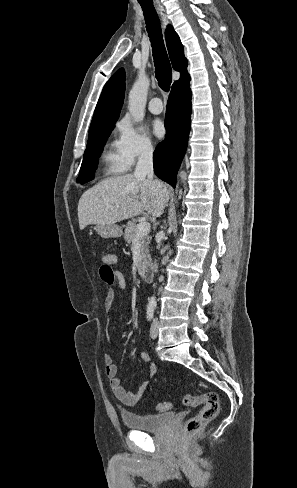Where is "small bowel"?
Returning a JSON list of instances; mask_svg holds the SVG:
<instances>
[{"label":"small bowel","instance_id":"c3829d8e","mask_svg":"<svg viewBox=\"0 0 297 488\" xmlns=\"http://www.w3.org/2000/svg\"><path fill=\"white\" fill-rule=\"evenodd\" d=\"M107 256L111 258L109 262L111 266L116 264L117 257L114 254H107ZM113 274L114 281L109 284L110 288L107 291L105 299V307L107 310L112 308L116 300L117 290H122L126 287V279L123 273L113 270ZM139 358L142 362L149 363L148 379L141 384L137 391H128L118 376V366L114 362L112 355L109 353L104 355L105 373L109 386L115 397L127 406H134L139 403L149 385V379L157 372V365L151 362L150 356L147 353H141Z\"/></svg>","mask_w":297,"mask_h":488}]
</instances>
